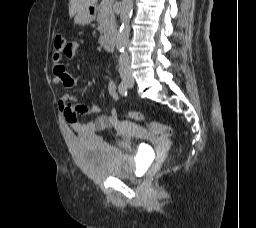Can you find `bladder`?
<instances>
[{"instance_id":"31cf9c89","label":"bladder","mask_w":256,"mask_h":228,"mask_svg":"<svg viewBox=\"0 0 256 228\" xmlns=\"http://www.w3.org/2000/svg\"><path fill=\"white\" fill-rule=\"evenodd\" d=\"M121 146L130 148V141L122 140ZM76 148L86 172L98 179H128L139 167L136 153L126 154L121 148L90 134L77 137Z\"/></svg>"}]
</instances>
